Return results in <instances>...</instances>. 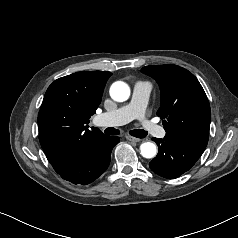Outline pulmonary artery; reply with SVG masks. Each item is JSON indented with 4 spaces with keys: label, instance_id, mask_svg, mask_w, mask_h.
<instances>
[{
    "label": "pulmonary artery",
    "instance_id": "pulmonary-artery-1",
    "mask_svg": "<svg viewBox=\"0 0 238 238\" xmlns=\"http://www.w3.org/2000/svg\"><path fill=\"white\" fill-rule=\"evenodd\" d=\"M150 93L151 85L149 83L136 82L133 86L130 102L113 111L97 116V123L101 126H119L138 119L141 120L144 130L148 134L162 136L164 134L163 128L145 119V110Z\"/></svg>",
    "mask_w": 238,
    "mask_h": 238
}]
</instances>
